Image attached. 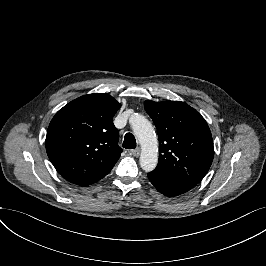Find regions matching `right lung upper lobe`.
I'll list each match as a JSON object with an SVG mask.
<instances>
[{"mask_svg": "<svg viewBox=\"0 0 266 266\" xmlns=\"http://www.w3.org/2000/svg\"><path fill=\"white\" fill-rule=\"evenodd\" d=\"M120 104L110 95L81 96L57 112L47 131L46 150L69 182L88 186L105 177L123 151L113 117Z\"/></svg>", "mask_w": 266, "mask_h": 266, "instance_id": "1", "label": "right lung upper lobe"}]
</instances>
